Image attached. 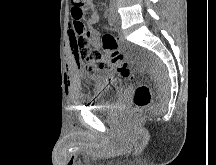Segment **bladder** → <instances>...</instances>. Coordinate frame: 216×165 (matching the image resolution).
<instances>
[{
    "label": "bladder",
    "instance_id": "31cf9c89",
    "mask_svg": "<svg viewBox=\"0 0 216 165\" xmlns=\"http://www.w3.org/2000/svg\"><path fill=\"white\" fill-rule=\"evenodd\" d=\"M88 90V106L92 111H111L112 103H117L119 97H124L120 89L123 86L122 76H92V81H84Z\"/></svg>",
    "mask_w": 216,
    "mask_h": 165
}]
</instances>
